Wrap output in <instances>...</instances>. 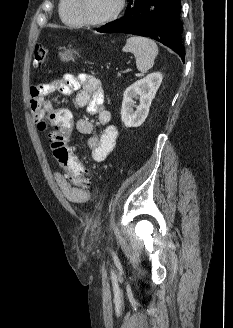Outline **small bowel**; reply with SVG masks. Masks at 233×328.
I'll return each mask as SVG.
<instances>
[{
	"mask_svg": "<svg viewBox=\"0 0 233 328\" xmlns=\"http://www.w3.org/2000/svg\"><path fill=\"white\" fill-rule=\"evenodd\" d=\"M59 90L65 95L76 92L75 103L79 108H85L89 114H96L99 124L103 127L102 133H94L92 123L86 119H79L77 130L88 135L87 146L94 161H104L113 150L118 137L117 127L111 123V113L104 104V89L99 78L89 74L73 76L65 74L61 78L53 79L30 88V107L35 119L40 120L51 113L55 108L45 96ZM61 172L55 173V178L64 196L77 203L86 202L90 198L87 190L81 188L71 180L70 172L58 163Z\"/></svg>",
	"mask_w": 233,
	"mask_h": 328,
	"instance_id": "1",
	"label": "small bowel"
}]
</instances>
